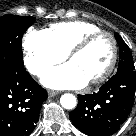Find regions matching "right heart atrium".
<instances>
[{"instance_id":"d8ad5b80","label":"right heart atrium","mask_w":136,"mask_h":136,"mask_svg":"<svg viewBox=\"0 0 136 136\" xmlns=\"http://www.w3.org/2000/svg\"><path fill=\"white\" fill-rule=\"evenodd\" d=\"M24 65L35 76H41L54 64L64 60L44 30H28L23 36Z\"/></svg>"}]
</instances>
